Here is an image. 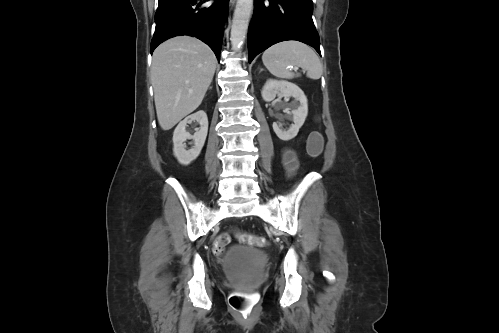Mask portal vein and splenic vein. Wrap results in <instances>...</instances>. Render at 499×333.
I'll use <instances>...</instances> for the list:
<instances>
[{
	"mask_svg": "<svg viewBox=\"0 0 499 333\" xmlns=\"http://www.w3.org/2000/svg\"><path fill=\"white\" fill-rule=\"evenodd\" d=\"M288 68H291V69H294V70H298V67H288Z\"/></svg>",
	"mask_w": 499,
	"mask_h": 333,
	"instance_id": "18ae733b",
	"label": "portal vein and splenic vein"
}]
</instances>
